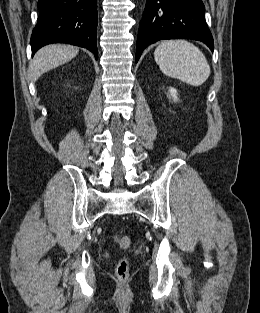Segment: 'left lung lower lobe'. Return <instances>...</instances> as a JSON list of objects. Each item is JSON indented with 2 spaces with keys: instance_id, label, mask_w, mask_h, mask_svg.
Wrapping results in <instances>:
<instances>
[{
  "instance_id": "left-lung-lower-lobe-1",
  "label": "left lung lower lobe",
  "mask_w": 260,
  "mask_h": 313,
  "mask_svg": "<svg viewBox=\"0 0 260 313\" xmlns=\"http://www.w3.org/2000/svg\"><path fill=\"white\" fill-rule=\"evenodd\" d=\"M204 13L202 0H147L137 37L136 62L148 45L162 39L199 40L213 51Z\"/></svg>"
}]
</instances>
